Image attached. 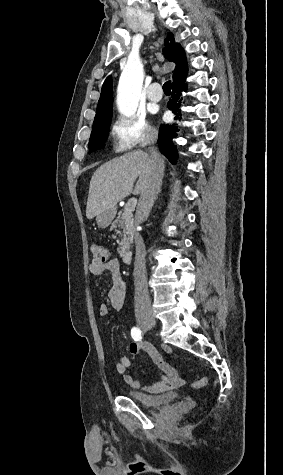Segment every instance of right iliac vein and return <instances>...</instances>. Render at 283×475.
<instances>
[{
	"mask_svg": "<svg viewBox=\"0 0 283 475\" xmlns=\"http://www.w3.org/2000/svg\"><path fill=\"white\" fill-rule=\"evenodd\" d=\"M138 322L145 328H150L155 324V318L152 313H146Z\"/></svg>",
	"mask_w": 283,
	"mask_h": 475,
	"instance_id": "1",
	"label": "right iliac vein"
}]
</instances>
